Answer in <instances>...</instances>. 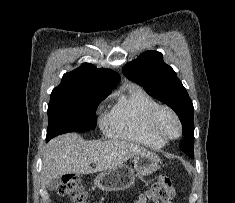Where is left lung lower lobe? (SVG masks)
I'll return each mask as SVG.
<instances>
[{
  "label": "left lung lower lobe",
  "mask_w": 235,
  "mask_h": 203,
  "mask_svg": "<svg viewBox=\"0 0 235 203\" xmlns=\"http://www.w3.org/2000/svg\"><path fill=\"white\" fill-rule=\"evenodd\" d=\"M183 133V135H184V138H186V137H189L190 136V134L189 133H187V132H182ZM184 150H186L185 148H184Z\"/></svg>",
  "instance_id": "1"
}]
</instances>
